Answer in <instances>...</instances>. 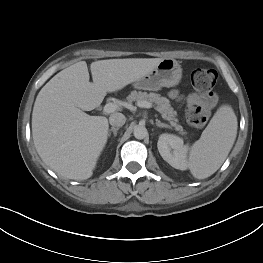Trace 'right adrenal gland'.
Segmentation results:
<instances>
[{
  "instance_id": "2a0ac1e0",
  "label": "right adrenal gland",
  "mask_w": 263,
  "mask_h": 263,
  "mask_svg": "<svg viewBox=\"0 0 263 263\" xmlns=\"http://www.w3.org/2000/svg\"><path fill=\"white\" fill-rule=\"evenodd\" d=\"M118 130H119V128L112 127V128L108 131V137L111 136V133H113V134H114V137H116Z\"/></svg>"
}]
</instances>
